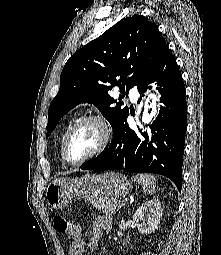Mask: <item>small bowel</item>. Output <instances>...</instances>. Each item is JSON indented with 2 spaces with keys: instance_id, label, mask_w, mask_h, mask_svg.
<instances>
[{
  "instance_id": "small-bowel-1",
  "label": "small bowel",
  "mask_w": 221,
  "mask_h": 255,
  "mask_svg": "<svg viewBox=\"0 0 221 255\" xmlns=\"http://www.w3.org/2000/svg\"><path fill=\"white\" fill-rule=\"evenodd\" d=\"M112 226V218L108 215H101L95 219L92 231L88 239V247L90 249L97 248L104 232L110 229ZM85 241L79 228L77 234L71 235V245L69 250V255H82L85 248Z\"/></svg>"
}]
</instances>
